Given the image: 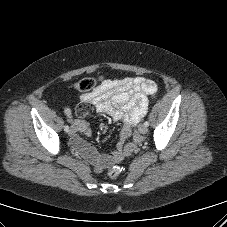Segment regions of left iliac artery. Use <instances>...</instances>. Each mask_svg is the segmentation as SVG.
<instances>
[{
  "label": "left iliac artery",
  "instance_id": "obj_1",
  "mask_svg": "<svg viewBox=\"0 0 227 227\" xmlns=\"http://www.w3.org/2000/svg\"><path fill=\"white\" fill-rule=\"evenodd\" d=\"M144 125H145L146 127H148V126H149V122H148V121H145V122H144Z\"/></svg>",
  "mask_w": 227,
  "mask_h": 227
}]
</instances>
